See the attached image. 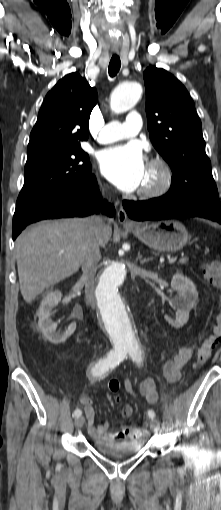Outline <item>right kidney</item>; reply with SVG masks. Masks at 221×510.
I'll return each instance as SVG.
<instances>
[{"mask_svg":"<svg viewBox=\"0 0 221 510\" xmlns=\"http://www.w3.org/2000/svg\"><path fill=\"white\" fill-rule=\"evenodd\" d=\"M62 294L59 290L50 291L40 304L38 309V326L43 335L51 343L60 344L65 342L75 331L76 323L68 326L65 332H56L57 324L51 319V310L61 301Z\"/></svg>","mask_w":221,"mask_h":510,"instance_id":"ca27d5eb","label":"right kidney"}]
</instances>
